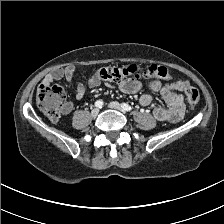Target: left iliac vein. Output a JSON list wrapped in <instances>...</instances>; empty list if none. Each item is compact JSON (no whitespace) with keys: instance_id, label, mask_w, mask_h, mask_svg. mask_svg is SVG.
Masks as SVG:
<instances>
[{"instance_id":"obj_1","label":"left iliac vein","mask_w":224,"mask_h":224,"mask_svg":"<svg viewBox=\"0 0 224 224\" xmlns=\"http://www.w3.org/2000/svg\"><path fill=\"white\" fill-rule=\"evenodd\" d=\"M109 108L111 109H117V110H121V105L120 103L118 102H111L109 105H108Z\"/></svg>"}]
</instances>
